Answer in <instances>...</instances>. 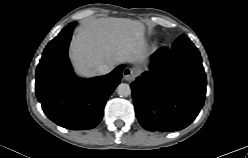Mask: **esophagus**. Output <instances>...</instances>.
Masks as SVG:
<instances>
[{"label": "esophagus", "instance_id": "1", "mask_svg": "<svg viewBox=\"0 0 248 158\" xmlns=\"http://www.w3.org/2000/svg\"><path fill=\"white\" fill-rule=\"evenodd\" d=\"M136 76H137V73L131 68H125L123 70V79L128 82L133 81Z\"/></svg>", "mask_w": 248, "mask_h": 158}]
</instances>
